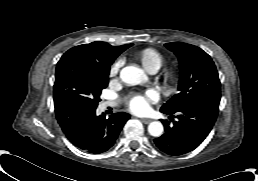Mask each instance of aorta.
<instances>
[{
	"mask_svg": "<svg viewBox=\"0 0 258 181\" xmlns=\"http://www.w3.org/2000/svg\"><path fill=\"white\" fill-rule=\"evenodd\" d=\"M145 77L144 71L134 66H126L120 72V78L128 85H138ZM163 131L164 127L159 121H153L148 126V132L151 136L159 137Z\"/></svg>",
	"mask_w": 258,
	"mask_h": 181,
	"instance_id": "aorta-1",
	"label": "aorta"
}]
</instances>
